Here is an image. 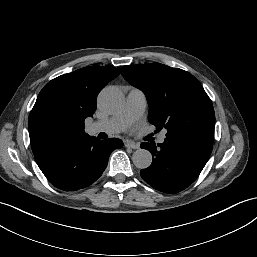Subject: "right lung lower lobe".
<instances>
[{
	"mask_svg": "<svg viewBox=\"0 0 257 257\" xmlns=\"http://www.w3.org/2000/svg\"><path fill=\"white\" fill-rule=\"evenodd\" d=\"M122 146V140L117 138L98 140L87 136L64 141L34 157L51 184L75 191L95 182L105 170L111 152Z\"/></svg>",
	"mask_w": 257,
	"mask_h": 257,
	"instance_id": "right-lung-lower-lobe-1",
	"label": "right lung lower lobe"
}]
</instances>
